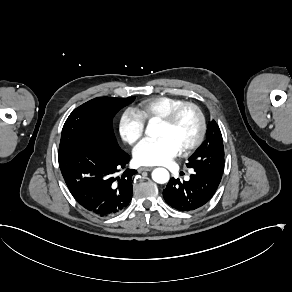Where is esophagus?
Segmentation results:
<instances>
[{
	"label": "esophagus",
	"instance_id": "1",
	"mask_svg": "<svg viewBox=\"0 0 292 292\" xmlns=\"http://www.w3.org/2000/svg\"><path fill=\"white\" fill-rule=\"evenodd\" d=\"M154 167H140L137 171L140 173L142 171H151Z\"/></svg>",
	"mask_w": 292,
	"mask_h": 292
}]
</instances>
